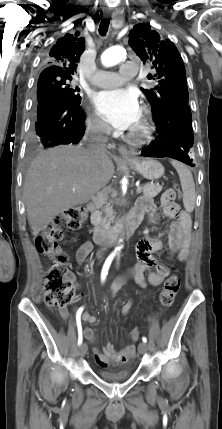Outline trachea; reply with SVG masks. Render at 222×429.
I'll use <instances>...</instances> for the list:
<instances>
[{
	"instance_id": "1",
	"label": "trachea",
	"mask_w": 222,
	"mask_h": 429,
	"mask_svg": "<svg viewBox=\"0 0 222 429\" xmlns=\"http://www.w3.org/2000/svg\"><path fill=\"white\" fill-rule=\"evenodd\" d=\"M109 24H110V20L109 19H103L101 21L100 26H99V33H100V35H102V36L106 35V33L108 31Z\"/></svg>"
}]
</instances>
